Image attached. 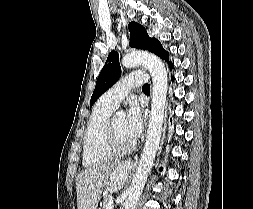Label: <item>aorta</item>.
Returning a JSON list of instances; mask_svg holds the SVG:
<instances>
[{
    "label": "aorta",
    "instance_id": "762f6f07",
    "mask_svg": "<svg viewBox=\"0 0 253 209\" xmlns=\"http://www.w3.org/2000/svg\"><path fill=\"white\" fill-rule=\"evenodd\" d=\"M121 64L125 68L145 67L150 72L153 81L151 116L146 142L136 174L129 188L128 198L124 203V209H136L159 148L168 80L164 64L155 55L145 52H133L125 55L122 58Z\"/></svg>",
    "mask_w": 253,
    "mask_h": 209
}]
</instances>
